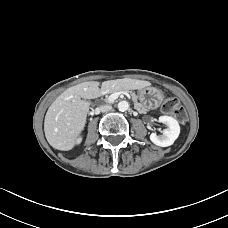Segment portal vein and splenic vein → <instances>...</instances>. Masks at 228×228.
Here are the masks:
<instances>
[{"mask_svg":"<svg viewBox=\"0 0 228 228\" xmlns=\"http://www.w3.org/2000/svg\"><path fill=\"white\" fill-rule=\"evenodd\" d=\"M120 94H124V95H126L128 98H130V95H129L127 92H116V93L111 94V95L108 97V100H109L110 102H113V101H115V100L119 97Z\"/></svg>","mask_w":228,"mask_h":228,"instance_id":"portal-vein-and-splenic-vein-1","label":"portal vein and splenic vein"}]
</instances>
